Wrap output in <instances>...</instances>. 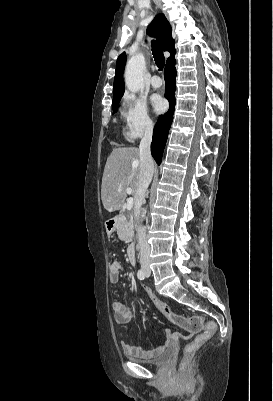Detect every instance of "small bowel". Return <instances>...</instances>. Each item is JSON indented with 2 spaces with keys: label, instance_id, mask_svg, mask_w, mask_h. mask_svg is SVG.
<instances>
[{
  "label": "small bowel",
  "instance_id": "c3829d8e",
  "mask_svg": "<svg viewBox=\"0 0 273 401\" xmlns=\"http://www.w3.org/2000/svg\"><path fill=\"white\" fill-rule=\"evenodd\" d=\"M121 269H122V265L119 261H113L110 263L109 280L111 283L115 284L119 281ZM144 294H155V293L153 290H151L150 293H144ZM112 309L114 312V320L117 324H127L128 322H130V320L132 318V313H131V310L125 305V303H123L121 301H114L112 303ZM186 319H187V317L180 315L178 321H185ZM169 320L175 321L174 319H169ZM175 338H177V336L174 333H172L171 331L167 330L166 331V341L153 351H144L140 348H137L135 346H132V345L124 343V342L122 343V349L125 353L132 355V356L153 357V356H156L157 354H159L160 352L164 351L165 349H167L172 344V341Z\"/></svg>",
  "mask_w": 273,
  "mask_h": 401
}]
</instances>
